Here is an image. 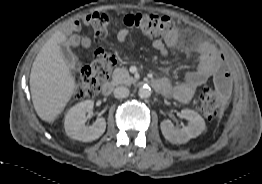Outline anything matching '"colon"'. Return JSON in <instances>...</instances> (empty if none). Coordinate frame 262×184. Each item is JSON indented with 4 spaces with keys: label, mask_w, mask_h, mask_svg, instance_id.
Here are the masks:
<instances>
[{
    "label": "colon",
    "mask_w": 262,
    "mask_h": 184,
    "mask_svg": "<svg viewBox=\"0 0 262 184\" xmlns=\"http://www.w3.org/2000/svg\"><path fill=\"white\" fill-rule=\"evenodd\" d=\"M83 22L93 28L96 41L103 40L115 18L106 12H92L83 17ZM120 22L127 28L135 29L150 38H164L174 32L171 18L155 13H134L123 16ZM116 63V57L102 48L94 52L92 62L81 70L80 80L75 88V97L83 99L97 95ZM231 89L228 66L223 63L212 84L202 88L199 94V109L209 118L220 114L221 106Z\"/></svg>",
    "instance_id": "obj_1"
}]
</instances>
